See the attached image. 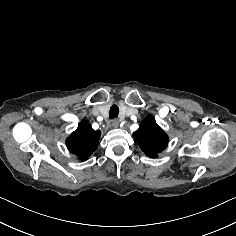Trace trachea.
<instances>
[{"label":"trachea","instance_id":"obj_1","mask_svg":"<svg viewBox=\"0 0 236 236\" xmlns=\"http://www.w3.org/2000/svg\"><path fill=\"white\" fill-rule=\"evenodd\" d=\"M119 114V107L117 105H112L109 111V119H116Z\"/></svg>","mask_w":236,"mask_h":236}]
</instances>
